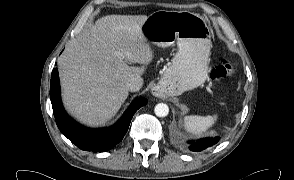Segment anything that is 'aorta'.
I'll return each instance as SVG.
<instances>
[{"label":"aorta","mask_w":294,"mask_h":180,"mask_svg":"<svg viewBox=\"0 0 294 180\" xmlns=\"http://www.w3.org/2000/svg\"><path fill=\"white\" fill-rule=\"evenodd\" d=\"M155 115L158 117H166L169 113V107L165 103H158L154 109Z\"/></svg>","instance_id":"obj_1"}]
</instances>
